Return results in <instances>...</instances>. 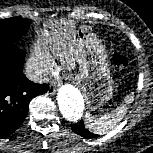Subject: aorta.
<instances>
[{
    "instance_id": "762f6f07",
    "label": "aorta",
    "mask_w": 153,
    "mask_h": 153,
    "mask_svg": "<svg viewBox=\"0 0 153 153\" xmlns=\"http://www.w3.org/2000/svg\"><path fill=\"white\" fill-rule=\"evenodd\" d=\"M59 110L63 117L75 122L79 120L84 110V99L77 88L65 84L60 87L57 95Z\"/></svg>"
}]
</instances>
